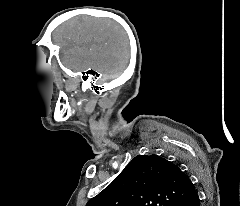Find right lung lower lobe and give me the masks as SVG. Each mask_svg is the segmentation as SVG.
I'll return each instance as SVG.
<instances>
[{
  "mask_svg": "<svg viewBox=\"0 0 240 206\" xmlns=\"http://www.w3.org/2000/svg\"><path fill=\"white\" fill-rule=\"evenodd\" d=\"M199 205L200 200L196 192L193 196L176 203L174 206H199Z\"/></svg>",
  "mask_w": 240,
  "mask_h": 206,
  "instance_id": "right-lung-lower-lobe-1",
  "label": "right lung lower lobe"
}]
</instances>
